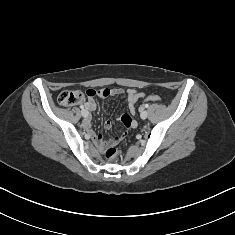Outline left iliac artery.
Listing matches in <instances>:
<instances>
[{"label":"left iliac artery","instance_id":"left-iliac-artery-1","mask_svg":"<svg viewBox=\"0 0 235 235\" xmlns=\"http://www.w3.org/2000/svg\"><path fill=\"white\" fill-rule=\"evenodd\" d=\"M149 107V105L148 104H145V108H148Z\"/></svg>","mask_w":235,"mask_h":235}]
</instances>
